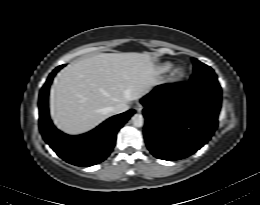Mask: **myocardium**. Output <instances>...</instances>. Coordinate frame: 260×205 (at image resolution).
I'll return each mask as SVG.
<instances>
[{"instance_id": "1", "label": "myocardium", "mask_w": 260, "mask_h": 205, "mask_svg": "<svg viewBox=\"0 0 260 205\" xmlns=\"http://www.w3.org/2000/svg\"><path fill=\"white\" fill-rule=\"evenodd\" d=\"M173 80L179 81L184 77V72L181 69H177L172 74Z\"/></svg>"}]
</instances>
